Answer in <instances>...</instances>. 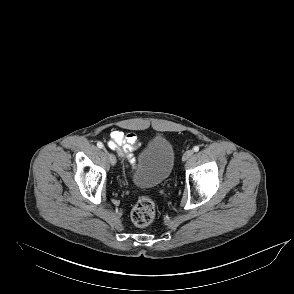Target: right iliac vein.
<instances>
[{"mask_svg": "<svg viewBox=\"0 0 294 294\" xmlns=\"http://www.w3.org/2000/svg\"><path fill=\"white\" fill-rule=\"evenodd\" d=\"M111 163L114 165L116 163V158L113 154H110Z\"/></svg>", "mask_w": 294, "mask_h": 294, "instance_id": "63e3f726", "label": "right iliac vein"}]
</instances>
